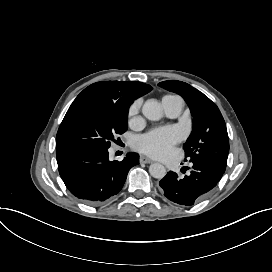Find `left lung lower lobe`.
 Returning <instances> with one entry per match:
<instances>
[{"label": "left lung lower lobe", "mask_w": 272, "mask_h": 272, "mask_svg": "<svg viewBox=\"0 0 272 272\" xmlns=\"http://www.w3.org/2000/svg\"><path fill=\"white\" fill-rule=\"evenodd\" d=\"M192 168L191 174L183 179L170 171L159 182L166 198L178 205L192 206L217 185L224 173L198 161L193 162Z\"/></svg>", "instance_id": "1"}]
</instances>
